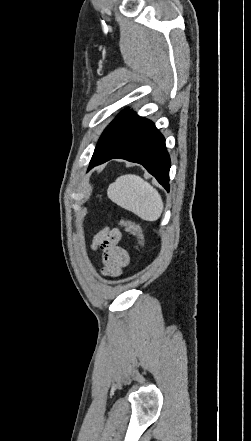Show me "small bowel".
<instances>
[{
    "instance_id": "small-bowel-1",
    "label": "small bowel",
    "mask_w": 251,
    "mask_h": 441,
    "mask_svg": "<svg viewBox=\"0 0 251 441\" xmlns=\"http://www.w3.org/2000/svg\"><path fill=\"white\" fill-rule=\"evenodd\" d=\"M121 233L118 229H104L95 235L93 248H100L102 255V272L106 276L116 277L129 263V255L119 243Z\"/></svg>"
}]
</instances>
